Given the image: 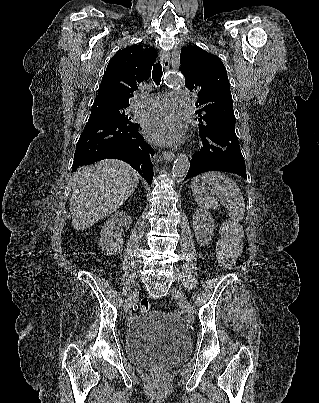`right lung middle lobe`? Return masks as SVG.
<instances>
[{
    "label": "right lung middle lobe",
    "mask_w": 319,
    "mask_h": 403,
    "mask_svg": "<svg viewBox=\"0 0 319 403\" xmlns=\"http://www.w3.org/2000/svg\"><path fill=\"white\" fill-rule=\"evenodd\" d=\"M127 106L93 104L91 115L88 121L109 120L116 122H129V117L124 113Z\"/></svg>",
    "instance_id": "1"
}]
</instances>
